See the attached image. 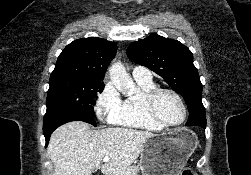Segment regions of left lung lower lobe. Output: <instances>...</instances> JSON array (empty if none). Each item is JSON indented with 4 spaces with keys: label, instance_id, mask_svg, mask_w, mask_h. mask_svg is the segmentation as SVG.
<instances>
[{
    "label": "left lung lower lobe",
    "instance_id": "obj_1",
    "mask_svg": "<svg viewBox=\"0 0 251 175\" xmlns=\"http://www.w3.org/2000/svg\"><path fill=\"white\" fill-rule=\"evenodd\" d=\"M189 119L186 123L187 126H196L206 121L205 109L200 106H189Z\"/></svg>",
    "mask_w": 251,
    "mask_h": 175
}]
</instances>
